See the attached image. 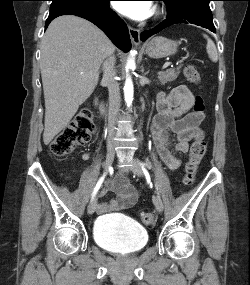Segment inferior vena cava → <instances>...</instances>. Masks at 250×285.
<instances>
[{
  "mask_svg": "<svg viewBox=\"0 0 250 285\" xmlns=\"http://www.w3.org/2000/svg\"><path fill=\"white\" fill-rule=\"evenodd\" d=\"M115 57L110 55L103 63V81L107 85L109 92V116H108V139L111 141L115 135L116 117L120 108V89L115 80L114 70Z\"/></svg>",
  "mask_w": 250,
  "mask_h": 285,
  "instance_id": "obj_1",
  "label": "inferior vena cava"
}]
</instances>
